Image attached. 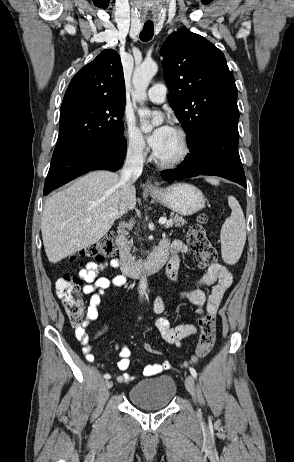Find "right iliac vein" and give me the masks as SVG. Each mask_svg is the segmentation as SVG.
Masks as SVG:
<instances>
[{
  "mask_svg": "<svg viewBox=\"0 0 294 462\" xmlns=\"http://www.w3.org/2000/svg\"><path fill=\"white\" fill-rule=\"evenodd\" d=\"M105 385H106L107 389H111L112 386H113V382L107 381V382L105 383Z\"/></svg>",
  "mask_w": 294,
  "mask_h": 462,
  "instance_id": "right-iliac-vein-1",
  "label": "right iliac vein"
}]
</instances>
